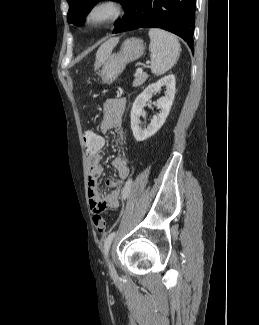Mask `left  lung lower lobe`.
I'll list each match as a JSON object with an SVG mask.
<instances>
[{
  "label": "left lung lower lobe",
  "instance_id": "left-lung-lower-lobe-1",
  "mask_svg": "<svg viewBox=\"0 0 259 325\" xmlns=\"http://www.w3.org/2000/svg\"><path fill=\"white\" fill-rule=\"evenodd\" d=\"M196 0H129L125 16L113 33L137 28H161L193 47Z\"/></svg>",
  "mask_w": 259,
  "mask_h": 325
}]
</instances>
